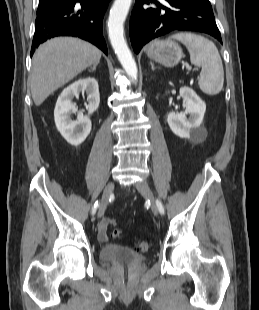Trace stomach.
Returning a JSON list of instances; mask_svg holds the SVG:
<instances>
[{
    "instance_id": "1",
    "label": "stomach",
    "mask_w": 259,
    "mask_h": 310,
    "mask_svg": "<svg viewBox=\"0 0 259 310\" xmlns=\"http://www.w3.org/2000/svg\"><path fill=\"white\" fill-rule=\"evenodd\" d=\"M147 56L166 67H173L183 57L181 47L174 41H154L147 48Z\"/></svg>"
}]
</instances>
